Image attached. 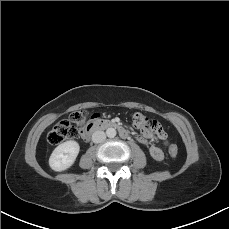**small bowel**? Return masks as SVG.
I'll return each instance as SVG.
<instances>
[{"instance_id": "c3829d8e", "label": "small bowel", "mask_w": 229, "mask_h": 229, "mask_svg": "<svg viewBox=\"0 0 229 229\" xmlns=\"http://www.w3.org/2000/svg\"><path fill=\"white\" fill-rule=\"evenodd\" d=\"M142 134L145 138H152L154 135H156L161 140L166 139V134L164 133L161 126L159 131H153L151 128H143ZM139 139L141 142L147 143V141L143 137H140ZM149 153L151 157L156 161H161L164 158L163 149L157 144L149 145Z\"/></svg>"}]
</instances>
